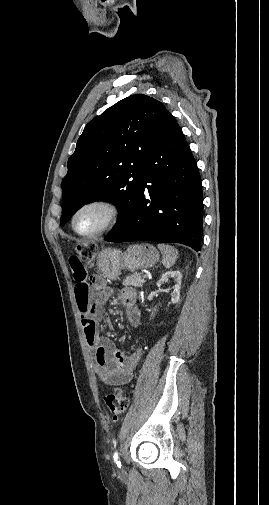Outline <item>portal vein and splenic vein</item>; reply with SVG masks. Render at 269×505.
I'll return each mask as SVG.
<instances>
[{
  "mask_svg": "<svg viewBox=\"0 0 269 505\" xmlns=\"http://www.w3.org/2000/svg\"><path fill=\"white\" fill-rule=\"evenodd\" d=\"M143 278H147V275H146V274H145V275H143Z\"/></svg>",
  "mask_w": 269,
  "mask_h": 505,
  "instance_id": "18ae733b",
  "label": "portal vein and splenic vein"
}]
</instances>
